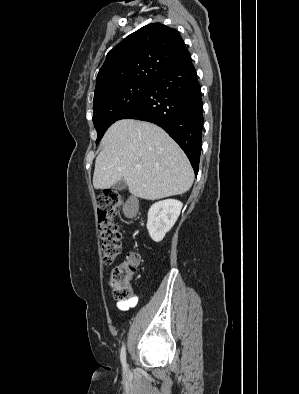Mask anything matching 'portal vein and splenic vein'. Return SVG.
I'll use <instances>...</instances> for the list:
<instances>
[{"mask_svg": "<svg viewBox=\"0 0 299 394\" xmlns=\"http://www.w3.org/2000/svg\"><path fill=\"white\" fill-rule=\"evenodd\" d=\"M137 169H140L141 167L140 166H138V167H136Z\"/></svg>", "mask_w": 299, "mask_h": 394, "instance_id": "18ae733b", "label": "portal vein and splenic vein"}]
</instances>
